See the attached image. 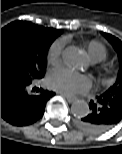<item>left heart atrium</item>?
Masks as SVG:
<instances>
[{"mask_svg": "<svg viewBox=\"0 0 122 154\" xmlns=\"http://www.w3.org/2000/svg\"><path fill=\"white\" fill-rule=\"evenodd\" d=\"M47 84L51 89L68 96L87 93L92 87L87 76L66 68L53 70L48 76Z\"/></svg>", "mask_w": 122, "mask_h": 154, "instance_id": "obj_1", "label": "left heart atrium"}]
</instances>
